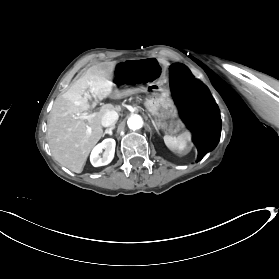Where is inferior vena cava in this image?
<instances>
[{"label":"inferior vena cava","mask_w":279,"mask_h":279,"mask_svg":"<svg viewBox=\"0 0 279 279\" xmlns=\"http://www.w3.org/2000/svg\"><path fill=\"white\" fill-rule=\"evenodd\" d=\"M118 114L115 111H108L106 115L103 117L102 125L105 127H109L111 124L116 123L115 121L118 120Z\"/></svg>","instance_id":"1"}]
</instances>
